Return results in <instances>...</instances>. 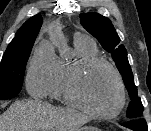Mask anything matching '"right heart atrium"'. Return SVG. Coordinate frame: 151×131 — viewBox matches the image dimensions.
<instances>
[{
	"label": "right heart atrium",
	"mask_w": 151,
	"mask_h": 131,
	"mask_svg": "<svg viewBox=\"0 0 151 131\" xmlns=\"http://www.w3.org/2000/svg\"><path fill=\"white\" fill-rule=\"evenodd\" d=\"M54 62L50 53L36 52L29 61L25 85L28 93L34 97L48 95L54 73Z\"/></svg>",
	"instance_id": "1"
}]
</instances>
